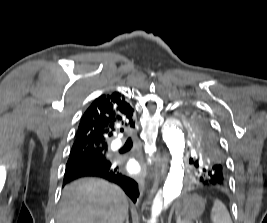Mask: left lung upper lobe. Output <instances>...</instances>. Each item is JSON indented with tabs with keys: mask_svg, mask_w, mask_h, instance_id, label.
Segmentation results:
<instances>
[{
	"mask_svg": "<svg viewBox=\"0 0 267 223\" xmlns=\"http://www.w3.org/2000/svg\"><path fill=\"white\" fill-rule=\"evenodd\" d=\"M181 118L196 150L197 155L190 160L196 171H227L225 155L208 118L191 110L182 111Z\"/></svg>",
	"mask_w": 267,
	"mask_h": 223,
	"instance_id": "left-lung-upper-lobe-1",
	"label": "left lung upper lobe"
}]
</instances>
